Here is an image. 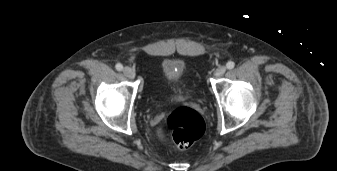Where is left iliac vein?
<instances>
[{
    "label": "left iliac vein",
    "instance_id": "left-iliac-vein-1",
    "mask_svg": "<svg viewBox=\"0 0 337 171\" xmlns=\"http://www.w3.org/2000/svg\"><path fill=\"white\" fill-rule=\"evenodd\" d=\"M225 72H226V67H225V66H219V67L215 70L214 76H215V77H220V76H222Z\"/></svg>",
    "mask_w": 337,
    "mask_h": 171
}]
</instances>
